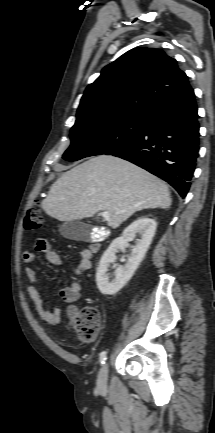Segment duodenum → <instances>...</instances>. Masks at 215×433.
<instances>
[{"mask_svg":"<svg viewBox=\"0 0 215 433\" xmlns=\"http://www.w3.org/2000/svg\"><path fill=\"white\" fill-rule=\"evenodd\" d=\"M101 239H97V240H92L91 242V251L95 252L100 248V242Z\"/></svg>","mask_w":215,"mask_h":433,"instance_id":"410a0bca","label":"duodenum"}]
</instances>
